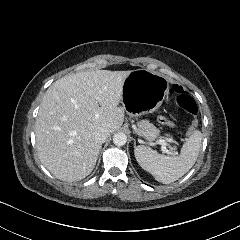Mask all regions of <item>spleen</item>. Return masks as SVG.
I'll return each mask as SVG.
<instances>
[{
  "mask_svg": "<svg viewBox=\"0 0 240 240\" xmlns=\"http://www.w3.org/2000/svg\"><path fill=\"white\" fill-rule=\"evenodd\" d=\"M202 134L195 131L183 144L179 156H165L158 154L148 146L139 145L134 149L138 164L154 178L163 184H170L195 164L201 148Z\"/></svg>",
  "mask_w": 240,
  "mask_h": 240,
  "instance_id": "1",
  "label": "spleen"
}]
</instances>
